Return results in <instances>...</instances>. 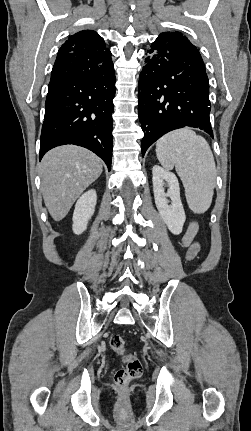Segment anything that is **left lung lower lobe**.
Returning <instances> with one entry per match:
<instances>
[{
    "mask_svg": "<svg viewBox=\"0 0 251 431\" xmlns=\"http://www.w3.org/2000/svg\"><path fill=\"white\" fill-rule=\"evenodd\" d=\"M138 85L142 154L162 135L195 127L213 137L209 83L202 57L182 34L162 33L147 51Z\"/></svg>",
    "mask_w": 251,
    "mask_h": 431,
    "instance_id": "left-lung-lower-lobe-1",
    "label": "left lung lower lobe"
}]
</instances>
